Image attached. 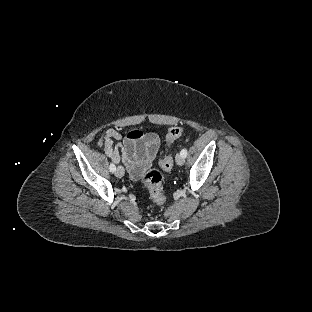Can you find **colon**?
I'll use <instances>...</instances> for the list:
<instances>
[{"instance_id":"colon-1","label":"colon","mask_w":312,"mask_h":312,"mask_svg":"<svg viewBox=\"0 0 312 312\" xmlns=\"http://www.w3.org/2000/svg\"><path fill=\"white\" fill-rule=\"evenodd\" d=\"M182 135V129L179 127H172L167 133V147H171L173 142ZM159 165L163 170L170 171L174 167L173 158L171 155H165L159 161ZM163 181V173L160 169L152 168L144 176V182L148 187L151 199L158 204L165 202L161 183Z\"/></svg>"}]
</instances>
